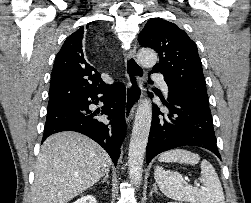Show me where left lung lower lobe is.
I'll return each instance as SVG.
<instances>
[{
	"mask_svg": "<svg viewBox=\"0 0 251 203\" xmlns=\"http://www.w3.org/2000/svg\"><path fill=\"white\" fill-rule=\"evenodd\" d=\"M151 73H154L151 71ZM152 83V81H149ZM164 114L153 108L152 124L146 148L147 164L159 153L180 146H198L210 150L220 158L216 145L212 115L209 107L186 93L168 96Z\"/></svg>",
	"mask_w": 251,
	"mask_h": 203,
	"instance_id": "0a47b994",
	"label": "left lung lower lobe"
}]
</instances>
